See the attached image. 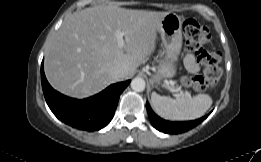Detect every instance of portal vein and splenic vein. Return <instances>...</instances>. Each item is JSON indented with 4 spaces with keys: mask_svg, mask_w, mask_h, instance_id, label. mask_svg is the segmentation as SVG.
I'll list each match as a JSON object with an SVG mask.
<instances>
[{
    "mask_svg": "<svg viewBox=\"0 0 261 162\" xmlns=\"http://www.w3.org/2000/svg\"><path fill=\"white\" fill-rule=\"evenodd\" d=\"M124 35H125V32H123L121 30H116V32H115L117 44H118V47H120V48L124 47V39H123ZM168 84H170L173 87L171 89L172 92H180V94H183L179 88L174 87V84H175L174 81H169ZM186 95L189 96V94H186Z\"/></svg>",
    "mask_w": 261,
    "mask_h": 162,
    "instance_id": "portal-vein-and-splenic-vein-1",
    "label": "portal vein and splenic vein"
}]
</instances>
